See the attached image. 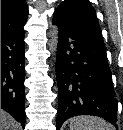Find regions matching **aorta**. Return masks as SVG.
<instances>
[{"label": "aorta", "instance_id": "1", "mask_svg": "<svg viewBox=\"0 0 123 130\" xmlns=\"http://www.w3.org/2000/svg\"><path fill=\"white\" fill-rule=\"evenodd\" d=\"M58 34L59 29L57 25H54L52 30L50 31V40H49V47L50 51L53 55H56L57 48H58Z\"/></svg>", "mask_w": 123, "mask_h": 130}]
</instances>
